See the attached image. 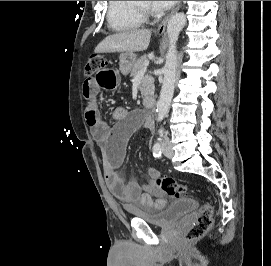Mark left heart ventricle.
I'll use <instances>...</instances> for the list:
<instances>
[{
  "label": "left heart ventricle",
  "mask_w": 271,
  "mask_h": 266,
  "mask_svg": "<svg viewBox=\"0 0 271 266\" xmlns=\"http://www.w3.org/2000/svg\"><path fill=\"white\" fill-rule=\"evenodd\" d=\"M137 6L143 7V8H149L150 3L149 1H137Z\"/></svg>",
  "instance_id": "obj_1"
}]
</instances>
